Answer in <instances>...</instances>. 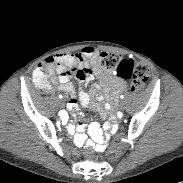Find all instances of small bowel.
<instances>
[{"instance_id": "c3829d8e", "label": "small bowel", "mask_w": 183, "mask_h": 183, "mask_svg": "<svg viewBox=\"0 0 183 183\" xmlns=\"http://www.w3.org/2000/svg\"><path fill=\"white\" fill-rule=\"evenodd\" d=\"M45 63L48 64L52 71L58 75L59 90L67 92L71 96V99L67 104V109L72 113L78 111L81 107L86 108L91 106L101 110L104 115L108 114L115 110L114 101L118 93L126 89L125 81L102 72L99 67L98 51L91 46L83 48L78 54H57L50 56ZM73 69L75 71H71ZM80 69L85 72L82 76H77V71ZM73 73H75L80 85L78 92L70 82ZM95 75L100 79V82L92 83V93L83 91L81 86L92 82ZM102 90H106L110 94V102L107 103L104 108H101L99 104L100 97L97 96V93ZM68 111H58L57 118L60 120L62 126L67 127V135H75L76 144L82 145L86 141L85 131L87 126L84 122H80L77 126L71 125L73 117ZM112 119L115 122L122 121V112H113ZM88 131L93 140L92 142H88L91 143L92 150L95 152L106 153L110 149V144L106 140L112 139L113 134L117 131V126L114 123H102L98 127L97 124L93 123L88 126Z\"/></svg>"}]
</instances>
